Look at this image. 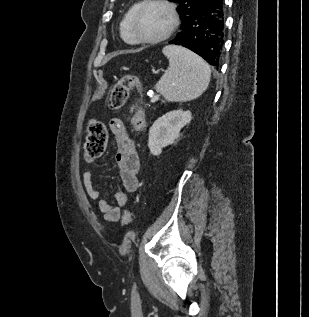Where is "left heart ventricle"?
<instances>
[{
    "instance_id": "left-heart-ventricle-1",
    "label": "left heart ventricle",
    "mask_w": 309,
    "mask_h": 317,
    "mask_svg": "<svg viewBox=\"0 0 309 317\" xmlns=\"http://www.w3.org/2000/svg\"><path fill=\"white\" fill-rule=\"evenodd\" d=\"M171 17L168 10L160 5L146 7L139 16L137 28L145 38L162 35L169 27Z\"/></svg>"
}]
</instances>
